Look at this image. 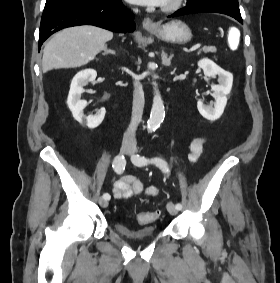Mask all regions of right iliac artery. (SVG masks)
Listing matches in <instances>:
<instances>
[{"label":"right iliac artery","instance_id":"obj_1","mask_svg":"<svg viewBox=\"0 0 280 283\" xmlns=\"http://www.w3.org/2000/svg\"><path fill=\"white\" fill-rule=\"evenodd\" d=\"M126 160L124 156L118 155L114 158L112 167L117 174H122L125 170ZM103 198L106 200L110 199V195L108 193L103 194Z\"/></svg>","mask_w":280,"mask_h":283}]
</instances>
